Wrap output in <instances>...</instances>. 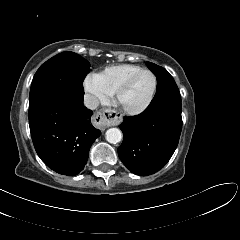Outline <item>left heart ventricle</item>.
<instances>
[{"label":"left heart ventricle","mask_w":240,"mask_h":240,"mask_svg":"<svg viewBox=\"0 0 240 240\" xmlns=\"http://www.w3.org/2000/svg\"><path fill=\"white\" fill-rule=\"evenodd\" d=\"M153 87L154 79L151 74L140 75L121 97V104L128 108L142 106L149 99Z\"/></svg>","instance_id":"obj_1"}]
</instances>
